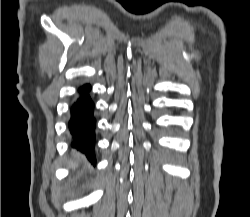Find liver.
<instances>
[{"label": "liver", "mask_w": 250, "mask_h": 217, "mask_svg": "<svg viewBox=\"0 0 250 217\" xmlns=\"http://www.w3.org/2000/svg\"><path fill=\"white\" fill-rule=\"evenodd\" d=\"M78 166L76 162H70L69 167L75 169Z\"/></svg>", "instance_id": "1"}]
</instances>
